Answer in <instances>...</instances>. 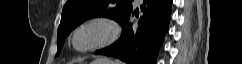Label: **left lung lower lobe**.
<instances>
[{
  "instance_id": "1",
  "label": "left lung lower lobe",
  "mask_w": 242,
  "mask_h": 64,
  "mask_svg": "<svg viewBox=\"0 0 242 64\" xmlns=\"http://www.w3.org/2000/svg\"><path fill=\"white\" fill-rule=\"evenodd\" d=\"M149 6L146 7V5ZM144 12L137 26L130 18L137 13L132 10L119 23L124 29L121 37L108 48L98 50L96 55L115 57L126 64H156L159 49L168 31L172 0H144Z\"/></svg>"
}]
</instances>
